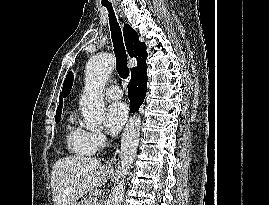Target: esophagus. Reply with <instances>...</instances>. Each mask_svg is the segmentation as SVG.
<instances>
[{
    "label": "esophagus",
    "mask_w": 269,
    "mask_h": 205,
    "mask_svg": "<svg viewBox=\"0 0 269 205\" xmlns=\"http://www.w3.org/2000/svg\"><path fill=\"white\" fill-rule=\"evenodd\" d=\"M112 161L114 162L115 161V158H112Z\"/></svg>",
    "instance_id": "34e87169"
}]
</instances>
